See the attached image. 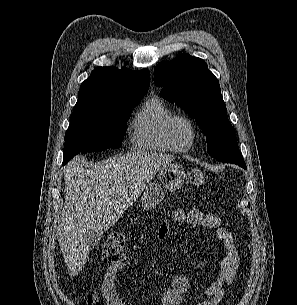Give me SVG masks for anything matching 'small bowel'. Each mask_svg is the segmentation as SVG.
<instances>
[{
  "mask_svg": "<svg viewBox=\"0 0 297 305\" xmlns=\"http://www.w3.org/2000/svg\"><path fill=\"white\" fill-rule=\"evenodd\" d=\"M172 219L178 223H187L192 226H202L213 230L225 248V255L220 263L215 281L206 287L193 290L186 274L179 273L172 279L171 287L162 297H155L159 305H179L186 294H196L205 297L197 305H219L225 298L227 288L233 281L239 264V253L231 234L223 227L221 220L214 214L203 212L197 208L175 209ZM169 221H164L158 230V238L163 241L169 233ZM134 262L128 256L119 266L109 267L104 275L100 295L92 292L88 295L87 305H102L100 296L106 305H127L120 296L117 287L119 271Z\"/></svg>",
  "mask_w": 297,
  "mask_h": 305,
  "instance_id": "c3829d8e",
  "label": "small bowel"
}]
</instances>
